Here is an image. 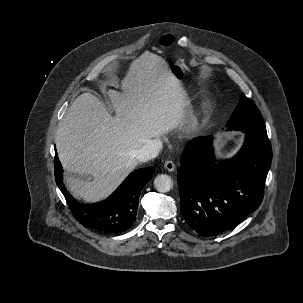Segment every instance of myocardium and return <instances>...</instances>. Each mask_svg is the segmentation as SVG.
Masks as SVG:
<instances>
[{"label":"myocardium","mask_w":303,"mask_h":303,"mask_svg":"<svg viewBox=\"0 0 303 303\" xmlns=\"http://www.w3.org/2000/svg\"><path fill=\"white\" fill-rule=\"evenodd\" d=\"M190 124L195 125V124H196V119L193 118V119L191 120Z\"/></svg>","instance_id":"obj_1"}]
</instances>
